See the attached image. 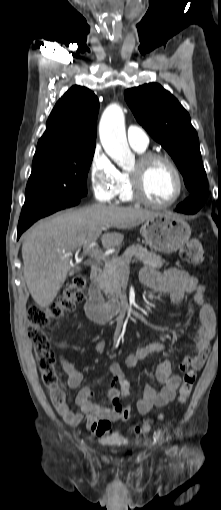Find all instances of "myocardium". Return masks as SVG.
I'll use <instances>...</instances> for the list:
<instances>
[{"label": "myocardium", "instance_id": "obj_1", "mask_svg": "<svg viewBox=\"0 0 221 510\" xmlns=\"http://www.w3.org/2000/svg\"><path fill=\"white\" fill-rule=\"evenodd\" d=\"M157 161H162L168 164V166L174 172L177 179V192L175 196L166 202H156L149 199L143 189V179L146 174L148 167ZM129 176V185L130 192L133 200L144 204L146 206L154 207V208H168L175 203H177L183 196L185 191V182L177 164L168 156L161 153H144L142 154L137 161V168L128 173Z\"/></svg>", "mask_w": 221, "mask_h": 510}]
</instances>
